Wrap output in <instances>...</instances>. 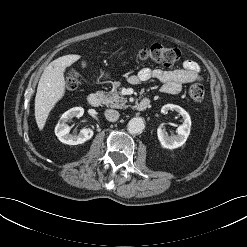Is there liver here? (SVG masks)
Here are the masks:
<instances>
[{
	"label": "liver",
	"instance_id": "1",
	"mask_svg": "<svg viewBox=\"0 0 247 247\" xmlns=\"http://www.w3.org/2000/svg\"><path fill=\"white\" fill-rule=\"evenodd\" d=\"M80 57L77 54L59 57L52 61L42 73L35 97V119L40 130L44 128L50 111L65 94V69Z\"/></svg>",
	"mask_w": 247,
	"mask_h": 247
}]
</instances>
